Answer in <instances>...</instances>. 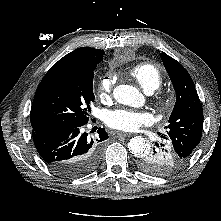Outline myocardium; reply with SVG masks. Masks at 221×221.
Listing matches in <instances>:
<instances>
[{
  "mask_svg": "<svg viewBox=\"0 0 221 221\" xmlns=\"http://www.w3.org/2000/svg\"><path fill=\"white\" fill-rule=\"evenodd\" d=\"M156 103L162 111L167 110L171 105V99L168 93L158 92L156 95Z\"/></svg>",
  "mask_w": 221,
  "mask_h": 221,
  "instance_id": "myocardium-1",
  "label": "myocardium"
}]
</instances>
